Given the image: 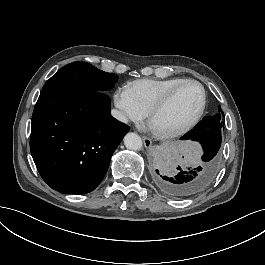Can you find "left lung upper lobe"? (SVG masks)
I'll list each match as a JSON object with an SVG mask.
<instances>
[{
  "label": "left lung upper lobe",
  "mask_w": 265,
  "mask_h": 265,
  "mask_svg": "<svg viewBox=\"0 0 265 265\" xmlns=\"http://www.w3.org/2000/svg\"><path fill=\"white\" fill-rule=\"evenodd\" d=\"M222 110L221 108L219 107V113H217L216 115L212 116L211 118L213 119L214 122H218L220 123L221 125L224 124L223 122V118H222Z\"/></svg>",
  "instance_id": "obj_1"
}]
</instances>
